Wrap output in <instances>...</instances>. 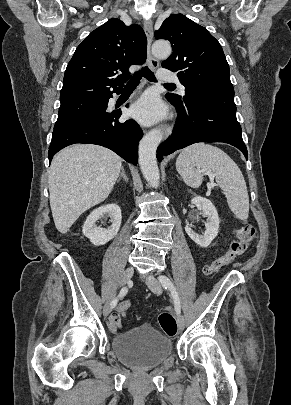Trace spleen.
I'll list each match as a JSON object with an SVG mask.
<instances>
[{
  "label": "spleen",
  "mask_w": 291,
  "mask_h": 405,
  "mask_svg": "<svg viewBox=\"0 0 291 405\" xmlns=\"http://www.w3.org/2000/svg\"><path fill=\"white\" fill-rule=\"evenodd\" d=\"M176 169L183 181L192 188L201 185V172H212L217 184L225 192L230 210L240 220L248 218L246 182L237 164L223 150L203 143L189 146L178 156Z\"/></svg>",
  "instance_id": "spleen-1"
}]
</instances>
